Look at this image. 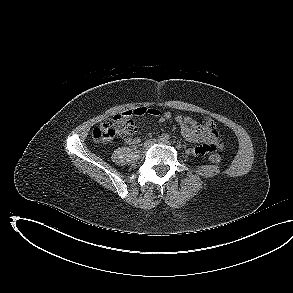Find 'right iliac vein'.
Instances as JSON below:
<instances>
[{
	"label": "right iliac vein",
	"mask_w": 293,
	"mask_h": 293,
	"mask_svg": "<svg viewBox=\"0 0 293 293\" xmlns=\"http://www.w3.org/2000/svg\"><path fill=\"white\" fill-rule=\"evenodd\" d=\"M154 142H155V140H153V139L145 141L144 148L150 147Z\"/></svg>",
	"instance_id": "63e3f726"
}]
</instances>
